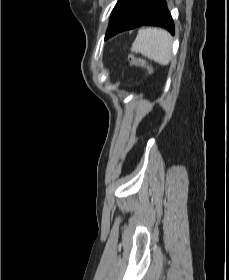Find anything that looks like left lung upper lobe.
Wrapping results in <instances>:
<instances>
[{"mask_svg":"<svg viewBox=\"0 0 229 280\" xmlns=\"http://www.w3.org/2000/svg\"><path fill=\"white\" fill-rule=\"evenodd\" d=\"M129 0H118L117 4L115 5L111 18H110V25L109 28L113 25V23L118 19L122 11L124 10L126 4Z\"/></svg>","mask_w":229,"mask_h":280,"instance_id":"1","label":"left lung upper lobe"}]
</instances>
